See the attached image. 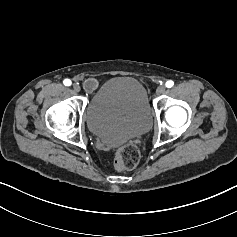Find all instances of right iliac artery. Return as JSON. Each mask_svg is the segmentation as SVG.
I'll use <instances>...</instances> for the list:
<instances>
[{
	"label": "right iliac artery",
	"mask_w": 237,
	"mask_h": 237,
	"mask_svg": "<svg viewBox=\"0 0 237 237\" xmlns=\"http://www.w3.org/2000/svg\"><path fill=\"white\" fill-rule=\"evenodd\" d=\"M63 83H64L65 86H70L72 82H71L70 79H65V80L63 81Z\"/></svg>",
	"instance_id": "82829eb1"
}]
</instances>
